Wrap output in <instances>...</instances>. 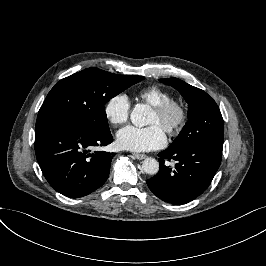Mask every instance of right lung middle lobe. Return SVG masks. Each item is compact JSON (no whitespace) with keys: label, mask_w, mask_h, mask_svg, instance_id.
I'll return each mask as SVG.
<instances>
[{"label":"right lung middle lobe","mask_w":266,"mask_h":266,"mask_svg":"<svg viewBox=\"0 0 266 266\" xmlns=\"http://www.w3.org/2000/svg\"><path fill=\"white\" fill-rule=\"evenodd\" d=\"M144 79L88 68L60 80L41 106L35 130L56 121H68L95 133L109 132L104 105Z\"/></svg>","instance_id":"dd1d6c3e"}]
</instances>
